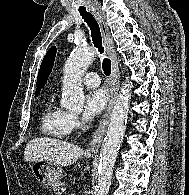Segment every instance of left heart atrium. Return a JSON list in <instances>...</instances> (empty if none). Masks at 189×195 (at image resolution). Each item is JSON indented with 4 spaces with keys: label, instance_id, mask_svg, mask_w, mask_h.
<instances>
[{
    "label": "left heart atrium",
    "instance_id": "1",
    "mask_svg": "<svg viewBox=\"0 0 189 195\" xmlns=\"http://www.w3.org/2000/svg\"><path fill=\"white\" fill-rule=\"evenodd\" d=\"M109 99L108 91L105 88H96L88 92L86 96L83 117L91 120L99 115L105 108Z\"/></svg>",
    "mask_w": 189,
    "mask_h": 195
}]
</instances>
